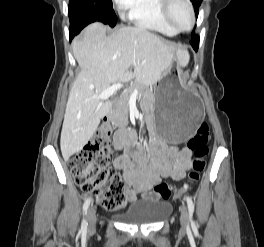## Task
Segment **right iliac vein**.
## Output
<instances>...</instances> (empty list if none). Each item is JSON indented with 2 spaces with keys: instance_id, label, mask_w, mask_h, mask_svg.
Returning <instances> with one entry per match:
<instances>
[{
  "instance_id": "right-iliac-vein-1",
  "label": "right iliac vein",
  "mask_w": 264,
  "mask_h": 247,
  "mask_svg": "<svg viewBox=\"0 0 264 247\" xmlns=\"http://www.w3.org/2000/svg\"><path fill=\"white\" fill-rule=\"evenodd\" d=\"M96 210L93 206H91L87 211V221H88V230L89 232L94 231L96 226Z\"/></svg>"
}]
</instances>
